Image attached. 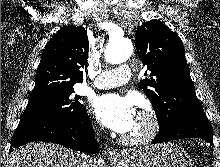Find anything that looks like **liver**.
<instances>
[{"mask_svg":"<svg viewBox=\"0 0 220 167\" xmlns=\"http://www.w3.org/2000/svg\"><path fill=\"white\" fill-rule=\"evenodd\" d=\"M79 153L45 142H32L14 149L6 167H77ZM94 167H103L102 161L94 159Z\"/></svg>","mask_w":220,"mask_h":167,"instance_id":"1","label":"liver"}]
</instances>
